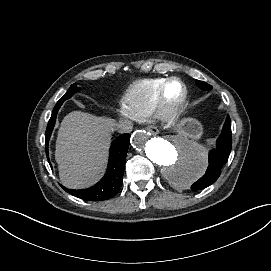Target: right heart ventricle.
<instances>
[{"label": "right heart ventricle", "mask_w": 271, "mask_h": 271, "mask_svg": "<svg viewBox=\"0 0 271 271\" xmlns=\"http://www.w3.org/2000/svg\"><path fill=\"white\" fill-rule=\"evenodd\" d=\"M167 77L143 78L132 83L124 95L126 111L137 119L150 116L157 108Z\"/></svg>", "instance_id": "right-heart-ventricle-1"}]
</instances>
